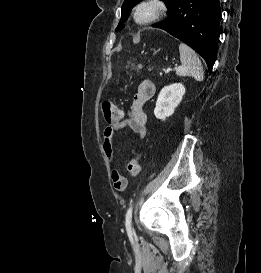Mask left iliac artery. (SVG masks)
<instances>
[{
	"label": "left iliac artery",
	"mask_w": 261,
	"mask_h": 273,
	"mask_svg": "<svg viewBox=\"0 0 261 273\" xmlns=\"http://www.w3.org/2000/svg\"><path fill=\"white\" fill-rule=\"evenodd\" d=\"M132 206L129 207L126 213V218H125V226L126 230L128 233H132V227H131V222H132Z\"/></svg>",
	"instance_id": "44dca946"
}]
</instances>
